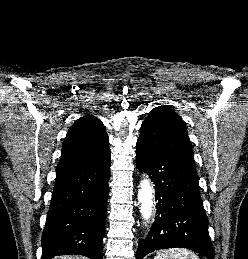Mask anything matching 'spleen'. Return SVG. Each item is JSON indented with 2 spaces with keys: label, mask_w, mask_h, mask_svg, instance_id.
<instances>
[{
  "label": "spleen",
  "mask_w": 248,
  "mask_h": 259,
  "mask_svg": "<svg viewBox=\"0 0 248 259\" xmlns=\"http://www.w3.org/2000/svg\"><path fill=\"white\" fill-rule=\"evenodd\" d=\"M154 259H199V257L186 248H171L157 252Z\"/></svg>",
  "instance_id": "3e777b00"
}]
</instances>
